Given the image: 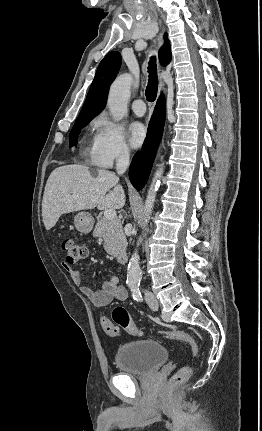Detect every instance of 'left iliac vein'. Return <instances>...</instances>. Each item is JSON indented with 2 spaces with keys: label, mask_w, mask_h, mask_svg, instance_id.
<instances>
[{
  "label": "left iliac vein",
  "mask_w": 262,
  "mask_h": 431,
  "mask_svg": "<svg viewBox=\"0 0 262 431\" xmlns=\"http://www.w3.org/2000/svg\"><path fill=\"white\" fill-rule=\"evenodd\" d=\"M147 304L153 311H157L159 308L158 301L154 294L149 293L145 297Z\"/></svg>",
  "instance_id": "obj_1"
}]
</instances>
